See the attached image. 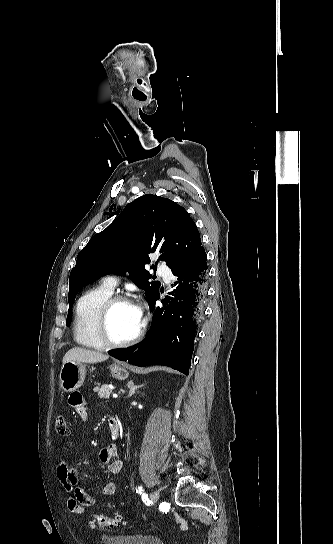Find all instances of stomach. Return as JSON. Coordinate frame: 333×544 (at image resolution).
<instances>
[{
    "instance_id": "1",
    "label": "stomach",
    "mask_w": 333,
    "mask_h": 544,
    "mask_svg": "<svg viewBox=\"0 0 333 544\" xmlns=\"http://www.w3.org/2000/svg\"><path fill=\"white\" fill-rule=\"evenodd\" d=\"M112 377L125 380L129 372L125 365L114 364L110 367ZM86 375V367L83 363L69 361L63 364L60 370V387L64 392H72L82 386Z\"/></svg>"
}]
</instances>
